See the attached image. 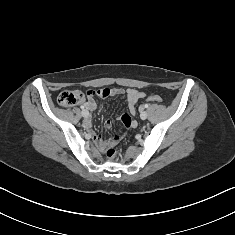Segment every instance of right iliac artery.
I'll return each instance as SVG.
<instances>
[{"label": "right iliac artery", "instance_id": "obj_1", "mask_svg": "<svg viewBox=\"0 0 235 235\" xmlns=\"http://www.w3.org/2000/svg\"><path fill=\"white\" fill-rule=\"evenodd\" d=\"M80 108L82 109L83 113L86 111L84 106H81Z\"/></svg>", "mask_w": 235, "mask_h": 235}]
</instances>
